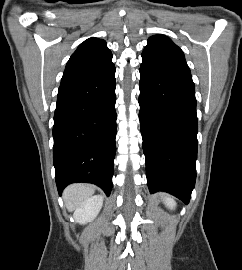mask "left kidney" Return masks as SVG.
I'll return each mask as SVG.
<instances>
[{"label":"left kidney","mask_w":242,"mask_h":270,"mask_svg":"<svg viewBox=\"0 0 242 270\" xmlns=\"http://www.w3.org/2000/svg\"><path fill=\"white\" fill-rule=\"evenodd\" d=\"M163 202L166 205V207H168L169 209H174L176 206V202L168 197H163Z\"/></svg>","instance_id":"obj_1"}]
</instances>
